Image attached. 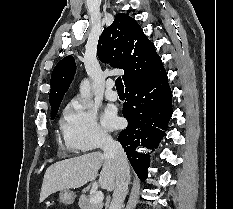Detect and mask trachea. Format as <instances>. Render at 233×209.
<instances>
[{
	"label": "trachea",
	"mask_w": 233,
	"mask_h": 209,
	"mask_svg": "<svg viewBox=\"0 0 233 209\" xmlns=\"http://www.w3.org/2000/svg\"><path fill=\"white\" fill-rule=\"evenodd\" d=\"M115 86H116V89L117 90H124V85H123V82H122V79L121 77H118L115 81Z\"/></svg>",
	"instance_id": "3493384b"
}]
</instances>
